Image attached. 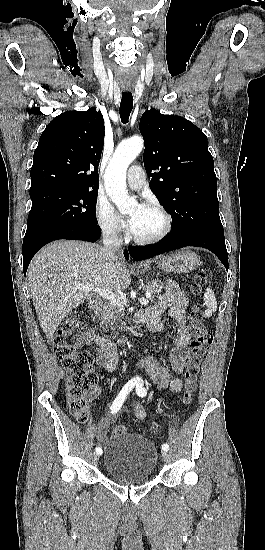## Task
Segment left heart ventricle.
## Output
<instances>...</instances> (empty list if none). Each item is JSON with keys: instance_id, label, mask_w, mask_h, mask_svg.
I'll use <instances>...</instances> for the list:
<instances>
[{"instance_id": "left-heart-ventricle-1", "label": "left heart ventricle", "mask_w": 265, "mask_h": 550, "mask_svg": "<svg viewBox=\"0 0 265 550\" xmlns=\"http://www.w3.org/2000/svg\"><path fill=\"white\" fill-rule=\"evenodd\" d=\"M129 215L135 217L131 230L139 237H152L159 233L164 226L163 217L147 207L139 211L138 206H135L131 209Z\"/></svg>"}]
</instances>
